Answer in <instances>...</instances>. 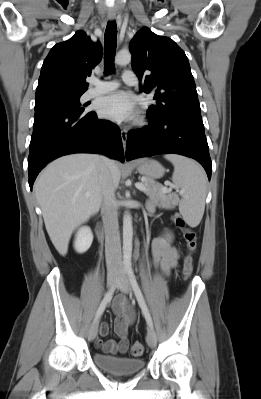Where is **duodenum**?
Returning a JSON list of instances; mask_svg holds the SVG:
<instances>
[{"mask_svg": "<svg viewBox=\"0 0 261 399\" xmlns=\"http://www.w3.org/2000/svg\"><path fill=\"white\" fill-rule=\"evenodd\" d=\"M96 232H97L98 238L101 240L103 238V227L101 224L97 225Z\"/></svg>", "mask_w": 261, "mask_h": 399, "instance_id": "duodenum-1", "label": "duodenum"}]
</instances>
